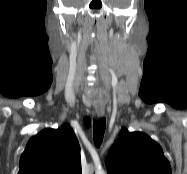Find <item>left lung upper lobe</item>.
<instances>
[{
	"label": "left lung upper lobe",
	"mask_w": 187,
	"mask_h": 174,
	"mask_svg": "<svg viewBox=\"0 0 187 174\" xmlns=\"http://www.w3.org/2000/svg\"><path fill=\"white\" fill-rule=\"evenodd\" d=\"M108 174H171L158 143L141 132L120 131L107 158Z\"/></svg>",
	"instance_id": "5c2ea615"
}]
</instances>
